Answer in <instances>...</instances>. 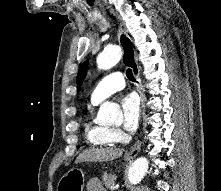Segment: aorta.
Returning a JSON list of instances; mask_svg holds the SVG:
<instances>
[{
    "mask_svg": "<svg viewBox=\"0 0 221 191\" xmlns=\"http://www.w3.org/2000/svg\"><path fill=\"white\" fill-rule=\"evenodd\" d=\"M121 49L117 45L106 47L97 57L99 69L107 70L115 66L121 59ZM122 113L118 105L105 102L100 106L99 117L105 122H113L121 118ZM149 167V161L145 157L136 159L128 171V179L131 184H138L144 178Z\"/></svg>",
    "mask_w": 221,
    "mask_h": 191,
    "instance_id": "762f6f07",
    "label": "aorta"
}]
</instances>
